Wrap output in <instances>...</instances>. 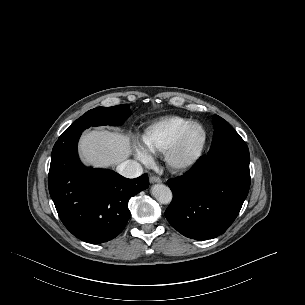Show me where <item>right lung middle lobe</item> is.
I'll return each mask as SVG.
<instances>
[{
  "label": "right lung middle lobe",
  "instance_id": "1",
  "mask_svg": "<svg viewBox=\"0 0 305 305\" xmlns=\"http://www.w3.org/2000/svg\"><path fill=\"white\" fill-rule=\"evenodd\" d=\"M131 115L128 104L117 105L113 107H97L86 112L82 117L77 119L69 126L59 137L65 139L90 126L99 125H119Z\"/></svg>",
  "mask_w": 305,
  "mask_h": 305
}]
</instances>
